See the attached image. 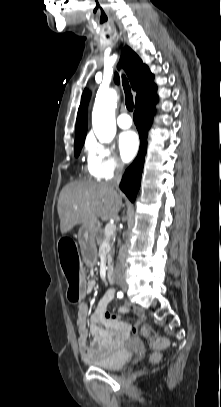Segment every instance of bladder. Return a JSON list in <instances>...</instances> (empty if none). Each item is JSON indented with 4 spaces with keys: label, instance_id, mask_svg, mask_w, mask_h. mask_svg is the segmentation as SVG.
<instances>
[{
    "label": "bladder",
    "instance_id": "obj_1",
    "mask_svg": "<svg viewBox=\"0 0 221 407\" xmlns=\"http://www.w3.org/2000/svg\"><path fill=\"white\" fill-rule=\"evenodd\" d=\"M131 343L132 347L118 348L103 357L88 359L86 363L105 370L120 369L130 361L135 353L142 351V345L138 340H133Z\"/></svg>",
    "mask_w": 221,
    "mask_h": 407
}]
</instances>
